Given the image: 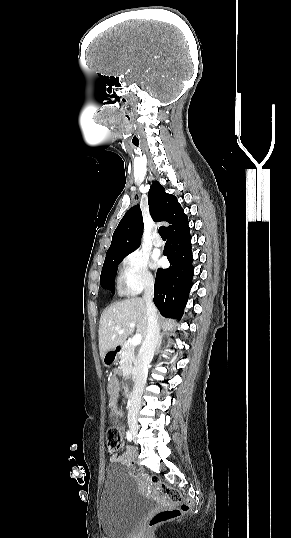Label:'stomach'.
<instances>
[{
	"label": "stomach",
	"instance_id": "1",
	"mask_svg": "<svg viewBox=\"0 0 291 538\" xmlns=\"http://www.w3.org/2000/svg\"><path fill=\"white\" fill-rule=\"evenodd\" d=\"M117 361H118V354L114 349L107 351L104 354L103 359H102V362L104 366L106 367H110L114 365L115 363H117Z\"/></svg>",
	"mask_w": 291,
	"mask_h": 538
}]
</instances>
